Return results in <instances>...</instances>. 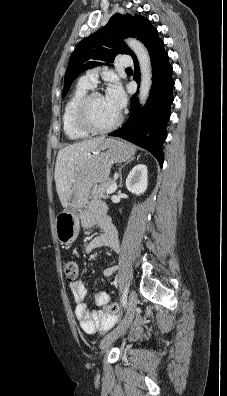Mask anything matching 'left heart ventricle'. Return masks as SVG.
I'll return each mask as SVG.
<instances>
[{"mask_svg": "<svg viewBox=\"0 0 227 396\" xmlns=\"http://www.w3.org/2000/svg\"><path fill=\"white\" fill-rule=\"evenodd\" d=\"M119 113L116 112L105 100L104 96H96L90 103V117L98 127H105L116 120Z\"/></svg>", "mask_w": 227, "mask_h": 396, "instance_id": "b2bd125f", "label": "left heart ventricle"}]
</instances>
